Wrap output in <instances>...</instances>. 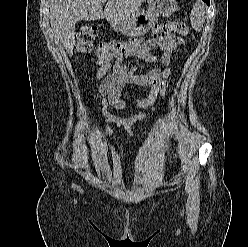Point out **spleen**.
Masks as SVG:
<instances>
[{"label":"spleen","mask_w":248,"mask_h":247,"mask_svg":"<svg viewBox=\"0 0 248 247\" xmlns=\"http://www.w3.org/2000/svg\"><path fill=\"white\" fill-rule=\"evenodd\" d=\"M191 25L195 31H201L205 22V8L200 3H195L190 14Z\"/></svg>","instance_id":"3e777b00"}]
</instances>
